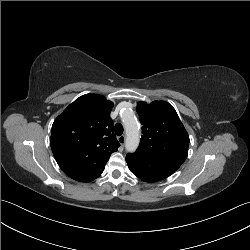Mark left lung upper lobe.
<instances>
[{"instance_id":"obj_1","label":"left lung upper lobe","mask_w":250,"mask_h":250,"mask_svg":"<svg viewBox=\"0 0 250 250\" xmlns=\"http://www.w3.org/2000/svg\"><path fill=\"white\" fill-rule=\"evenodd\" d=\"M137 113L143 135L135 153L175 172L186 160L189 145L188 133L175 109L165 101L139 102Z\"/></svg>"}]
</instances>
